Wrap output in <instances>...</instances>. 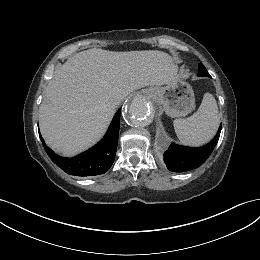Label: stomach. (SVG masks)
<instances>
[{"instance_id":"stomach-1","label":"stomach","mask_w":260,"mask_h":260,"mask_svg":"<svg viewBox=\"0 0 260 260\" xmlns=\"http://www.w3.org/2000/svg\"><path fill=\"white\" fill-rule=\"evenodd\" d=\"M148 95L163 107L168 116L173 118L184 117L195 107L194 91L191 85L181 77L166 86L150 87Z\"/></svg>"}]
</instances>
